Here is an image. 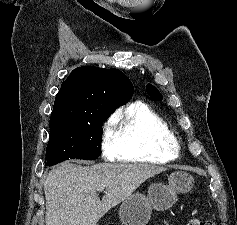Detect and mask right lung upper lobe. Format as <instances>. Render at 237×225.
Instances as JSON below:
<instances>
[{"label":"right lung upper lobe","instance_id":"cb5924a9","mask_svg":"<svg viewBox=\"0 0 237 225\" xmlns=\"http://www.w3.org/2000/svg\"><path fill=\"white\" fill-rule=\"evenodd\" d=\"M129 78L118 69L83 66L72 71L55 98L51 119H93L103 111L114 112L133 95Z\"/></svg>","mask_w":237,"mask_h":225}]
</instances>
